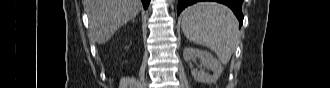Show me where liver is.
<instances>
[{
    "label": "liver",
    "instance_id": "6515ba94",
    "mask_svg": "<svg viewBox=\"0 0 330 88\" xmlns=\"http://www.w3.org/2000/svg\"><path fill=\"white\" fill-rule=\"evenodd\" d=\"M84 6L89 17L91 40L98 44L111 39L142 7L140 0H84Z\"/></svg>",
    "mask_w": 330,
    "mask_h": 88
}]
</instances>
